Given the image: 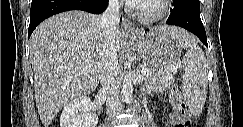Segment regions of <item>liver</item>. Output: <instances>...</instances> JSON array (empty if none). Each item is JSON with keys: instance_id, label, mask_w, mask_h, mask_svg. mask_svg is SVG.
<instances>
[{"instance_id": "6515ba94", "label": "liver", "mask_w": 243, "mask_h": 127, "mask_svg": "<svg viewBox=\"0 0 243 127\" xmlns=\"http://www.w3.org/2000/svg\"><path fill=\"white\" fill-rule=\"evenodd\" d=\"M104 37L100 16L77 10L52 16L35 29L30 53L35 101L44 127L67 103L97 88ZM114 38L119 51L125 36L117 29Z\"/></svg>"}]
</instances>
